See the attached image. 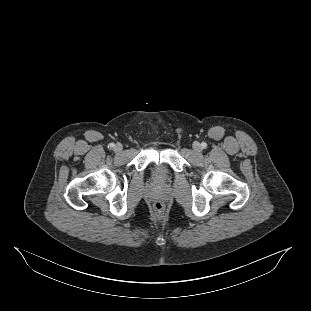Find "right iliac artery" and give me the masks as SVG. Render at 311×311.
<instances>
[{"instance_id":"obj_1","label":"right iliac artery","mask_w":311,"mask_h":311,"mask_svg":"<svg viewBox=\"0 0 311 311\" xmlns=\"http://www.w3.org/2000/svg\"><path fill=\"white\" fill-rule=\"evenodd\" d=\"M114 146H115L114 143H110V144L108 145V148L112 149Z\"/></svg>"}]
</instances>
